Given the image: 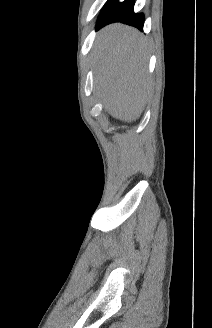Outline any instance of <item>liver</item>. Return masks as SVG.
<instances>
[{
  "label": "liver",
  "instance_id": "obj_1",
  "mask_svg": "<svg viewBox=\"0 0 212 328\" xmlns=\"http://www.w3.org/2000/svg\"><path fill=\"white\" fill-rule=\"evenodd\" d=\"M148 48L134 28L105 27L95 43V80L105 110L125 122L138 119L150 91L147 75Z\"/></svg>",
  "mask_w": 212,
  "mask_h": 328
}]
</instances>
